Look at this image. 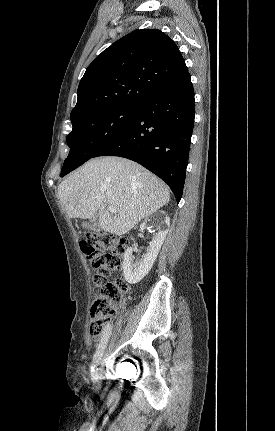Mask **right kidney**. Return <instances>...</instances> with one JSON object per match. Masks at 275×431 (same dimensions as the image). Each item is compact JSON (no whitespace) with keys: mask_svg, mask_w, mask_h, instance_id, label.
Returning a JSON list of instances; mask_svg holds the SVG:
<instances>
[{"mask_svg":"<svg viewBox=\"0 0 275 431\" xmlns=\"http://www.w3.org/2000/svg\"><path fill=\"white\" fill-rule=\"evenodd\" d=\"M165 223L169 225L170 220L168 217L165 218ZM148 226V222L145 221L140 225L141 229H145ZM167 230L159 229L158 232L153 236L152 241L143 255V258L138 260L135 264L132 262L133 249L130 247L126 250L123 260V273L125 280L130 284H136L140 282L151 270L160 248L166 238Z\"/></svg>","mask_w":275,"mask_h":431,"instance_id":"obj_1","label":"right kidney"}]
</instances>
